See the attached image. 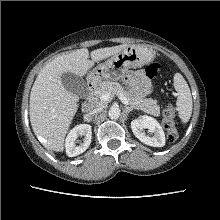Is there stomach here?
<instances>
[{
    "instance_id": "0dacf381",
    "label": "stomach",
    "mask_w": 220,
    "mask_h": 220,
    "mask_svg": "<svg viewBox=\"0 0 220 220\" xmlns=\"http://www.w3.org/2000/svg\"><path fill=\"white\" fill-rule=\"evenodd\" d=\"M153 58L152 50L142 46L129 45L90 71L87 76L88 82L97 87L104 80H120L126 75L129 68L147 65L152 62Z\"/></svg>"
}]
</instances>
